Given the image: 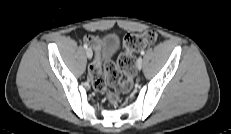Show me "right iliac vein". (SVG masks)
<instances>
[{"label": "right iliac vein", "mask_w": 231, "mask_h": 134, "mask_svg": "<svg viewBox=\"0 0 231 134\" xmlns=\"http://www.w3.org/2000/svg\"><path fill=\"white\" fill-rule=\"evenodd\" d=\"M86 56L87 58L91 59L93 56L92 50L90 48L86 49Z\"/></svg>", "instance_id": "63e3f726"}]
</instances>
